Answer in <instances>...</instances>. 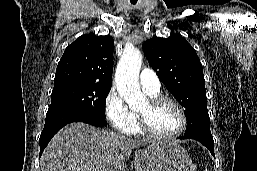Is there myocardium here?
Masks as SVG:
<instances>
[{"mask_svg":"<svg viewBox=\"0 0 257 171\" xmlns=\"http://www.w3.org/2000/svg\"><path fill=\"white\" fill-rule=\"evenodd\" d=\"M148 103L151 107H156L163 103L172 104L178 110V112L181 116V125H180V128L173 133L162 134V133L156 132L155 130H153L151 128L146 114L138 112L137 113L138 124L143 133H145L151 137L157 138V139H173V138L180 136L185 131V129L187 127V123H188L187 115H186L184 108L180 105V103L178 101H176L175 99L168 97V96L157 95L154 97H150L148 99Z\"/></svg>","mask_w":257,"mask_h":171,"instance_id":"obj_1","label":"myocardium"}]
</instances>
